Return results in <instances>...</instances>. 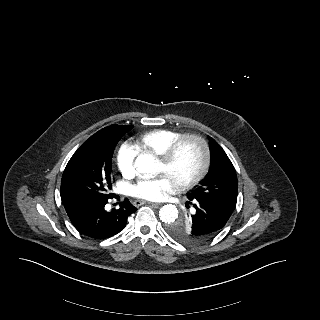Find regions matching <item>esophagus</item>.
<instances>
[{"instance_id": "obj_1", "label": "esophagus", "mask_w": 320, "mask_h": 320, "mask_svg": "<svg viewBox=\"0 0 320 320\" xmlns=\"http://www.w3.org/2000/svg\"><path fill=\"white\" fill-rule=\"evenodd\" d=\"M134 206L139 207L143 204H151L152 206H159L160 204L158 203H153V202H148V201H143V200H136L134 201Z\"/></svg>"}]
</instances>
